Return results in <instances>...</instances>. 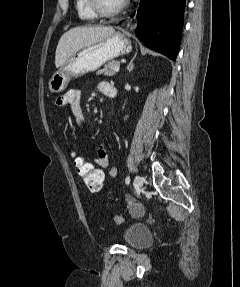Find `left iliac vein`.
<instances>
[{
    "label": "left iliac vein",
    "mask_w": 240,
    "mask_h": 287,
    "mask_svg": "<svg viewBox=\"0 0 240 287\" xmlns=\"http://www.w3.org/2000/svg\"><path fill=\"white\" fill-rule=\"evenodd\" d=\"M134 185L137 191H140L143 186V178L139 175L135 176Z\"/></svg>",
    "instance_id": "obj_1"
}]
</instances>
